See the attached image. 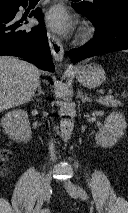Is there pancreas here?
I'll list each match as a JSON object with an SVG mask.
<instances>
[{
	"label": "pancreas",
	"instance_id": "cf45deb5",
	"mask_svg": "<svg viewBox=\"0 0 128 213\" xmlns=\"http://www.w3.org/2000/svg\"><path fill=\"white\" fill-rule=\"evenodd\" d=\"M98 102L100 104H103L107 107H113V108H117L119 106H122V102L112 96H108V97H105V98H100L98 100Z\"/></svg>",
	"mask_w": 128,
	"mask_h": 213
}]
</instances>
